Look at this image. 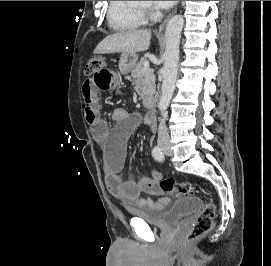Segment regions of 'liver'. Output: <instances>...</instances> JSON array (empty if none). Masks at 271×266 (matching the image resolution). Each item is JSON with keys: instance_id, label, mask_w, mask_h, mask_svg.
I'll return each instance as SVG.
<instances>
[{"instance_id": "liver-1", "label": "liver", "mask_w": 271, "mask_h": 266, "mask_svg": "<svg viewBox=\"0 0 271 266\" xmlns=\"http://www.w3.org/2000/svg\"><path fill=\"white\" fill-rule=\"evenodd\" d=\"M151 30L139 29L118 32L104 38L94 54L136 53L146 51L150 46Z\"/></svg>"}]
</instances>
